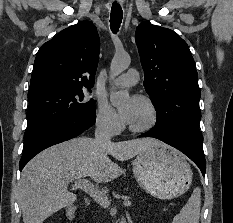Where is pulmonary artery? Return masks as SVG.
I'll list each match as a JSON object with an SVG mask.
<instances>
[{
    "instance_id": "e3ab8cb5",
    "label": "pulmonary artery",
    "mask_w": 233,
    "mask_h": 223,
    "mask_svg": "<svg viewBox=\"0 0 233 223\" xmlns=\"http://www.w3.org/2000/svg\"><path fill=\"white\" fill-rule=\"evenodd\" d=\"M139 73L135 69H130L128 72L116 79V83L122 86H133L138 82Z\"/></svg>"
}]
</instances>
